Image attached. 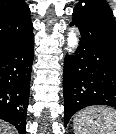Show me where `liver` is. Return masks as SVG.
Masks as SVG:
<instances>
[{
	"label": "liver",
	"mask_w": 116,
	"mask_h": 134,
	"mask_svg": "<svg viewBox=\"0 0 116 134\" xmlns=\"http://www.w3.org/2000/svg\"><path fill=\"white\" fill-rule=\"evenodd\" d=\"M0 134H14V130L6 123H0Z\"/></svg>",
	"instance_id": "6515ba94"
}]
</instances>
